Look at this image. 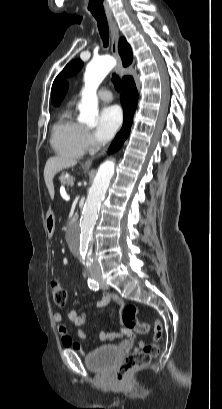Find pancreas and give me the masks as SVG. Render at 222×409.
<instances>
[{
    "instance_id": "cf45deb5",
    "label": "pancreas",
    "mask_w": 222,
    "mask_h": 409,
    "mask_svg": "<svg viewBox=\"0 0 222 409\" xmlns=\"http://www.w3.org/2000/svg\"><path fill=\"white\" fill-rule=\"evenodd\" d=\"M60 181H61V184L69 186V185H71L73 183L74 177H72V176L68 177V178L62 177L60 179Z\"/></svg>"
}]
</instances>
